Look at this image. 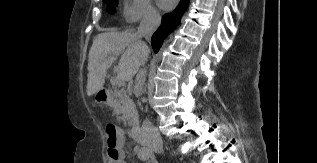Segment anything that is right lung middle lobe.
<instances>
[{"label": "right lung middle lobe", "mask_w": 317, "mask_h": 163, "mask_svg": "<svg viewBox=\"0 0 317 163\" xmlns=\"http://www.w3.org/2000/svg\"><path fill=\"white\" fill-rule=\"evenodd\" d=\"M103 1L108 4V11L110 13H114L115 12L114 5H117V0H103ZM110 3H113L114 5H112Z\"/></svg>", "instance_id": "right-lung-middle-lobe-1"}]
</instances>
